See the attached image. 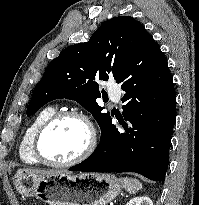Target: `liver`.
Returning a JSON list of instances; mask_svg holds the SVG:
<instances>
[{"mask_svg":"<svg viewBox=\"0 0 199 205\" xmlns=\"http://www.w3.org/2000/svg\"><path fill=\"white\" fill-rule=\"evenodd\" d=\"M18 172H26L31 175H47V174H60V173H68L63 170H34V169H20Z\"/></svg>","mask_w":199,"mask_h":205,"instance_id":"1","label":"liver"}]
</instances>
